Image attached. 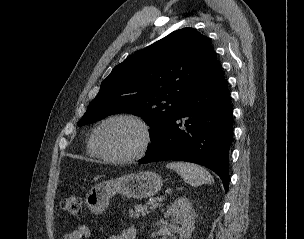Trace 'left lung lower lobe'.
<instances>
[{
  "label": "left lung lower lobe",
  "instance_id": "obj_1",
  "mask_svg": "<svg viewBox=\"0 0 304 239\" xmlns=\"http://www.w3.org/2000/svg\"><path fill=\"white\" fill-rule=\"evenodd\" d=\"M183 118V122L179 120ZM233 124L230 94L216 60L202 82L186 97L167 130L139 163L181 160L216 172L229 187V150Z\"/></svg>",
  "mask_w": 304,
  "mask_h": 239
}]
</instances>
